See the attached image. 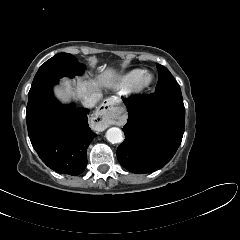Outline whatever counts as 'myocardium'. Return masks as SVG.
<instances>
[{"instance_id":"obj_1","label":"myocardium","mask_w":240,"mask_h":240,"mask_svg":"<svg viewBox=\"0 0 240 240\" xmlns=\"http://www.w3.org/2000/svg\"><path fill=\"white\" fill-rule=\"evenodd\" d=\"M154 77L150 72H144V74L137 80V82L132 86V92L135 94H140L145 90L149 89L153 84Z\"/></svg>"}]
</instances>
